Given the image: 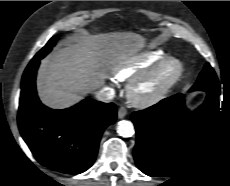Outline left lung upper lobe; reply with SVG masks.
<instances>
[{
    "label": "left lung upper lobe",
    "instance_id": "5c2ea615",
    "mask_svg": "<svg viewBox=\"0 0 230 186\" xmlns=\"http://www.w3.org/2000/svg\"><path fill=\"white\" fill-rule=\"evenodd\" d=\"M207 86H219L217 76L209 63H206L204 70L200 73L198 80L191 89H199Z\"/></svg>",
    "mask_w": 230,
    "mask_h": 186
}]
</instances>
